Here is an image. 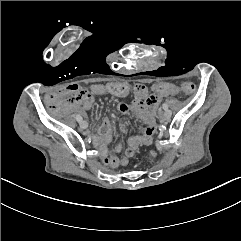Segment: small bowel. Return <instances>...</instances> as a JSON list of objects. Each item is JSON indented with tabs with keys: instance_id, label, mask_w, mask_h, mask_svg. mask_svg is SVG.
I'll return each instance as SVG.
<instances>
[{
	"instance_id": "small-bowel-1",
	"label": "small bowel",
	"mask_w": 241,
	"mask_h": 241,
	"mask_svg": "<svg viewBox=\"0 0 241 241\" xmlns=\"http://www.w3.org/2000/svg\"><path fill=\"white\" fill-rule=\"evenodd\" d=\"M104 86L105 84H94L91 86L90 91H86L81 89L80 86L76 84H72L68 86L66 92L69 95H72L74 99L69 97L66 99L65 102L67 105L71 107L73 106L74 109L79 114H85V112L89 110L92 106L94 95L106 94L104 91ZM133 91H134V100L130 104L120 103L119 109L121 112L125 114L127 113L135 114L139 119L142 120V122L145 124V127L140 135L133 136L129 139L128 147L120 158H117L115 156H110L109 159L104 160L106 163H109L111 167H116L119 163L122 165L128 164L129 159L135 155L136 151L140 146L152 144L153 136L156 132V128H157V121L155 118L156 110L160 102V99L163 96H159L156 93H154L152 95L157 96V101L155 102L148 101L151 95L148 96L147 87L143 83L135 84ZM46 102L47 104L50 105L47 109L49 113L51 114L55 113L58 116L63 115L64 110L61 106H59V101L58 99L55 98L54 94L52 93L47 94ZM96 131H97V135L95 137V142L98 144L100 149L104 151L107 144L110 142L111 136H112V125L109 119L107 118L103 119L98 124ZM121 150H122V145L117 144L114 148V153L116 154L120 153Z\"/></svg>"
}]
</instances>
